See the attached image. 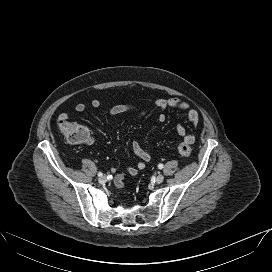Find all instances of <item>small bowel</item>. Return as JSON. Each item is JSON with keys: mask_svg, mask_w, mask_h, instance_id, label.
I'll use <instances>...</instances> for the list:
<instances>
[{"mask_svg": "<svg viewBox=\"0 0 272 272\" xmlns=\"http://www.w3.org/2000/svg\"><path fill=\"white\" fill-rule=\"evenodd\" d=\"M104 105V101L96 99L93 100L91 103V106L93 108H101ZM154 106L160 110H167V109H177V110H184L187 112V117L191 125L197 126L200 122V115L197 109L194 107L190 106L187 102L182 101L179 98H170V99H164V98H158L154 101ZM76 112H83L86 109V105L82 102H79L75 105L74 107ZM137 108L132 105V104H116L113 105L110 110L109 114L110 116H117L123 113L127 112H136ZM145 111H142L141 114H144ZM69 115L68 113L64 112L61 113L59 118L60 119H68ZM159 121L164 122L165 121V115L161 114L159 116ZM177 133L186 139L187 137H190L191 144L194 143L195 137L192 133L187 132L184 126L181 124H178L176 127ZM93 142V139L90 138L88 141V144H91ZM131 148L133 153L139 158V161L135 166H128L126 169L121 172L117 173L115 175V184L117 187L122 188L125 185V175H130V176H135L137 175L140 171H142L145 168L146 162H149L151 159L150 154L140 145L139 142L133 141L131 144ZM111 171L113 173L117 172L116 167H112Z\"/></svg>", "mask_w": 272, "mask_h": 272, "instance_id": "1", "label": "small bowel"}]
</instances>
